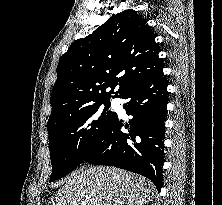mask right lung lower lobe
Here are the masks:
<instances>
[{
    "instance_id": "right-lung-lower-lobe-1",
    "label": "right lung lower lobe",
    "mask_w": 222,
    "mask_h": 205,
    "mask_svg": "<svg viewBox=\"0 0 222 205\" xmlns=\"http://www.w3.org/2000/svg\"><path fill=\"white\" fill-rule=\"evenodd\" d=\"M167 79L163 68L130 86L120 97L133 116L129 124L114 120L95 139L83 161L109 165L149 178L160 191L163 182L164 128L167 116ZM122 127L128 131L123 132Z\"/></svg>"
}]
</instances>
